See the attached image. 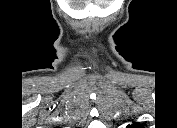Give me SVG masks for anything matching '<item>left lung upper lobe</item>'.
Here are the masks:
<instances>
[{
	"label": "left lung upper lobe",
	"instance_id": "5c2ea615",
	"mask_svg": "<svg viewBox=\"0 0 177 128\" xmlns=\"http://www.w3.org/2000/svg\"><path fill=\"white\" fill-rule=\"evenodd\" d=\"M128 127H130V128H140L141 125H139L138 123H133V125H129Z\"/></svg>",
	"mask_w": 177,
	"mask_h": 128
}]
</instances>
